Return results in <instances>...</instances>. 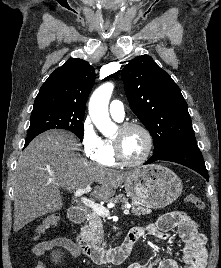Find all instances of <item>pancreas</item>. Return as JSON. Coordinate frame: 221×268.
<instances>
[{"label":"pancreas","mask_w":221,"mask_h":268,"mask_svg":"<svg viewBox=\"0 0 221 268\" xmlns=\"http://www.w3.org/2000/svg\"><path fill=\"white\" fill-rule=\"evenodd\" d=\"M121 200L124 203H128V199L123 195H117L110 201ZM132 213L134 215H147L151 213V209L142 207L136 202H132ZM87 223L81 228V237L92 245H100L103 240V221L101 216L94 211L91 212L87 218ZM104 245V243H103Z\"/></svg>","instance_id":"cf45deb5"}]
</instances>
